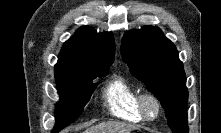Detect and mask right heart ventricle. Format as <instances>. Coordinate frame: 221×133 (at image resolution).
I'll return each mask as SVG.
<instances>
[{"mask_svg": "<svg viewBox=\"0 0 221 133\" xmlns=\"http://www.w3.org/2000/svg\"><path fill=\"white\" fill-rule=\"evenodd\" d=\"M139 89L124 77H114L104 89V103L111 115L133 123L143 120L138 109Z\"/></svg>", "mask_w": 221, "mask_h": 133, "instance_id": "1", "label": "right heart ventricle"}]
</instances>
